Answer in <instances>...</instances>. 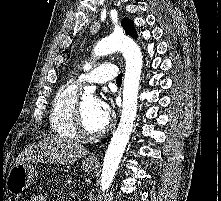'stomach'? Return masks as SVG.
<instances>
[{"label": "stomach", "instance_id": "1", "mask_svg": "<svg viewBox=\"0 0 221 201\" xmlns=\"http://www.w3.org/2000/svg\"><path fill=\"white\" fill-rule=\"evenodd\" d=\"M82 169L89 173L95 169V164L84 161ZM38 178V171L31 165L25 162H16L10 169L6 188L14 195H18L33 184Z\"/></svg>", "mask_w": 221, "mask_h": 201}]
</instances>
